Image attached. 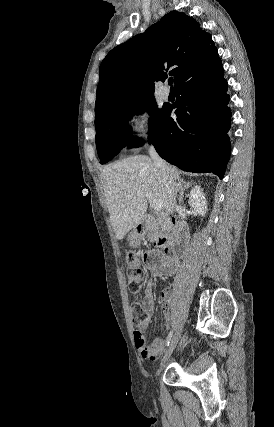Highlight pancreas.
Instances as JSON below:
<instances>
[{
    "instance_id": "pancreas-1",
    "label": "pancreas",
    "mask_w": 274,
    "mask_h": 427,
    "mask_svg": "<svg viewBox=\"0 0 274 427\" xmlns=\"http://www.w3.org/2000/svg\"><path fill=\"white\" fill-rule=\"evenodd\" d=\"M159 219H164V217H159ZM158 221H155V219H147L148 239H158V237H162V235H164V223H158Z\"/></svg>"
}]
</instances>
